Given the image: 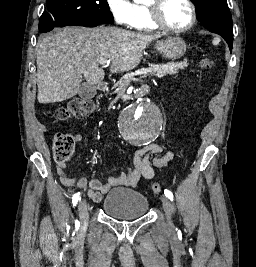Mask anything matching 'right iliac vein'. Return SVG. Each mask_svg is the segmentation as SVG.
<instances>
[{
  "label": "right iliac vein",
  "instance_id": "63e3f726",
  "mask_svg": "<svg viewBox=\"0 0 256 267\" xmlns=\"http://www.w3.org/2000/svg\"><path fill=\"white\" fill-rule=\"evenodd\" d=\"M78 211L82 225H86V223L88 222L89 213H88L87 203L85 200L80 201L78 205Z\"/></svg>",
  "mask_w": 256,
  "mask_h": 267
}]
</instances>
